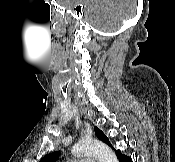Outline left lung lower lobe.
Segmentation results:
<instances>
[{"label": "left lung lower lobe", "mask_w": 175, "mask_h": 162, "mask_svg": "<svg viewBox=\"0 0 175 162\" xmlns=\"http://www.w3.org/2000/svg\"><path fill=\"white\" fill-rule=\"evenodd\" d=\"M120 162H132V159L126 155H123L120 150H115Z\"/></svg>", "instance_id": "left-lung-lower-lobe-1"}]
</instances>
